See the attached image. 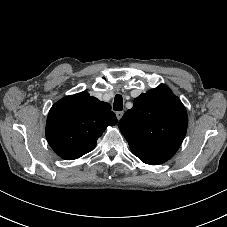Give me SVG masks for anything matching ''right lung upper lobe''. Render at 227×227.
Returning a JSON list of instances; mask_svg holds the SVG:
<instances>
[{
	"instance_id": "1",
	"label": "right lung upper lobe",
	"mask_w": 227,
	"mask_h": 227,
	"mask_svg": "<svg viewBox=\"0 0 227 227\" xmlns=\"http://www.w3.org/2000/svg\"><path fill=\"white\" fill-rule=\"evenodd\" d=\"M116 123L110 104L81 92L52 106L46 122V138L61 158L73 160L90 152L107 126Z\"/></svg>"
}]
</instances>
